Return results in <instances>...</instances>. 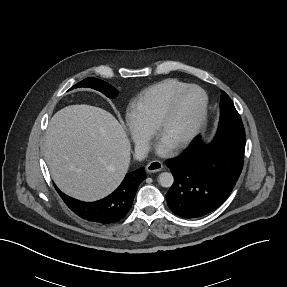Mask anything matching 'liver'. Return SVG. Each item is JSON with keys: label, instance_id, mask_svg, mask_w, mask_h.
Returning a JSON list of instances; mask_svg holds the SVG:
<instances>
[{"label": "liver", "instance_id": "liver-1", "mask_svg": "<svg viewBox=\"0 0 287 287\" xmlns=\"http://www.w3.org/2000/svg\"><path fill=\"white\" fill-rule=\"evenodd\" d=\"M43 152L52 179L65 194L95 201L122 182L130 164L131 145L112 114L82 104L54 114Z\"/></svg>", "mask_w": 287, "mask_h": 287}]
</instances>
